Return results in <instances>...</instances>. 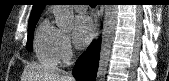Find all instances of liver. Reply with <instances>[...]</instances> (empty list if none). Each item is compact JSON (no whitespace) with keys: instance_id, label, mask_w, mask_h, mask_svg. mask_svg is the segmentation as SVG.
<instances>
[{"instance_id":"1","label":"liver","mask_w":169,"mask_h":81,"mask_svg":"<svg viewBox=\"0 0 169 81\" xmlns=\"http://www.w3.org/2000/svg\"><path fill=\"white\" fill-rule=\"evenodd\" d=\"M22 81H73L72 77L60 69L45 70L33 65L26 66Z\"/></svg>"}]
</instances>
